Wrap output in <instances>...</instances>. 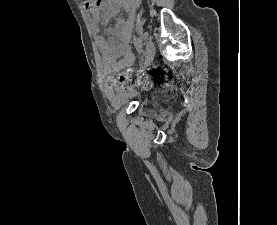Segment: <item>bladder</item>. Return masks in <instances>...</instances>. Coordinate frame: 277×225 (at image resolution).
<instances>
[{
  "label": "bladder",
  "instance_id": "obj_1",
  "mask_svg": "<svg viewBox=\"0 0 277 225\" xmlns=\"http://www.w3.org/2000/svg\"><path fill=\"white\" fill-rule=\"evenodd\" d=\"M137 95H138V93L134 92V93H132L131 96H128V98H130V97H135V96H137ZM126 101H127V100L123 101L122 104L126 103Z\"/></svg>",
  "mask_w": 277,
  "mask_h": 225
}]
</instances>
